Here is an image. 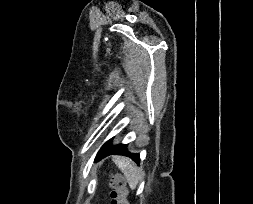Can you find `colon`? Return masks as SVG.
Instances as JSON below:
<instances>
[{"label":"colon","instance_id":"obj_1","mask_svg":"<svg viewBox=\"0 0 253 204\" xmlns=\"http://www.w3.org/2000/svg\"><path fill=\"white\" fill-rule=\"evenodd\" d=\"M110 204H129L123 180L118 175L110 176Z\"/></svg>","mask_w":253,"mask_h":204}]
</instances>
